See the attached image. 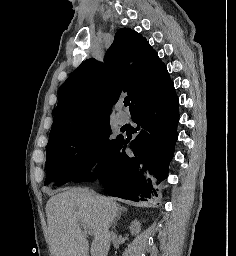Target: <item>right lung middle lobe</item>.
<instances>
[{"mask_svg": "<svg viewBox=\"0 0 236 256\" xmlns=\"http://www.w3.org/2000/svg\"><path fill=\"white\" fill-rule=\"evenodd\" d=\"M109 120L79 126L56 138L49 139L46 147L45 185L64 184L88 175L106 160L113 147L122 138L109 140Z\"/></svg>", "mask_w": 236, "mask_h": 256, "instance_id": "dd1d6c3e", "label": "right lung middle lobe"}]
</instances>
